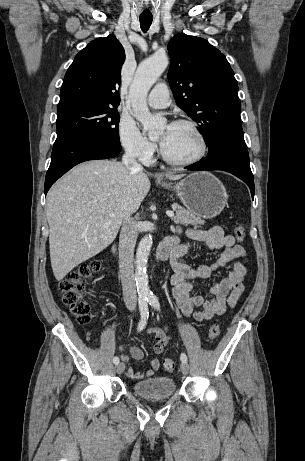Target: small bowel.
<instances>
[{"mask_svg": "<svg viewBox=\"0 0 305 461\" xmlns=\"http://www.w3.org/2000/svg\"><path fill=\"white\" fill-rule=\"evenodd\" d=\"M178 232L180 233L181 230L178 229ZM186 235L190 242L179 245L171 253L170 264L174 271L171 278L172 294L178 308L185 316L192 317L198 322L208 321L215 315L225 313L228 308L236 306L245 290L243 281L248 273L247 253L244 247L236 243L232 235L225 234L219 226L209 229H188ZM198 243L205 244L212 250L222 249L223 251L215 262L200 265L197 268L181 262L180 259ZM224 267L229 269L227 275L213 282L209 287L204 288L197 284V282L210 280L217 270ZM197 291H203L211 297L206 299L200 294H194ZM150 332L154 337L155 353L162 354L171 339L170 333L167 328H152ZM129 353L134 360L144 358V352L139 347H130ZM120 357L123 361L129 360L123 347L120 348ZM150 363L151 369L146 373L129 368L128 376L133 379L154 376L160 368V360L153 358Z\"/></svg>", "mask_w": 305, "mask_h": 461, "instance_id": "obj_1", "label": "small bowel"}]
</instances>
